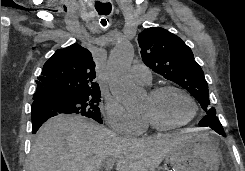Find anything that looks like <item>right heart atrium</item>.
<instances>
[{
	"label": "right heart atrium",
	"instance_id": "obj_1",
	"mask_svg": "<svg viewBox=\"0 0 245 171\" xmlns=\"http://www.w3.org/2000/svg\"><path fill=\"white\" fill-rule=\"evenodd\" d=\"M103 116L107 125L116 133L127 137H135L141 134L145 128V119L141 115L127 111L116 100L106 102Z\"/></svg>",
	"mask_w": 245,
	"mask_h": 171
}]
</instances>
